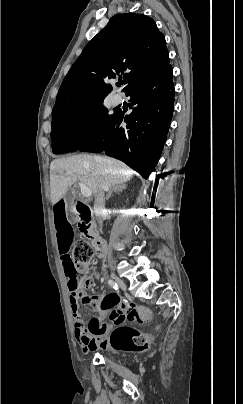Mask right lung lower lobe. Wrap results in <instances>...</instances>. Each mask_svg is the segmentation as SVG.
I'll use <instances>...</instances> for the list:
<instances>
[{"instance_id":"obj_1","label":"right lung lower lobe","mask_w":243,"mask_h":404,"mask_svg":"<svg viewBox=\"0 0 243 404\" xmlns=\"http://www.w3.org/2000/svg\"><path fill=\"white\" fill-rule=\"evenodd\" d=\"M125 94L131 97L132 113L123 120V114L118 110L104 130L78 150L104 151L147 179L158 162L172 118L174 86L171 65L158 75L134 85ZM122 121L127 123L125 128L120 127Z\"/></svg>"}]
</instances>
